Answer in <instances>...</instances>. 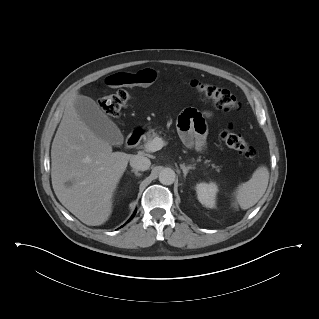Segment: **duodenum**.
<instances>
[{"instance_id": "obj_1", "label": "duodenum", "mask_w": 319, "mask_h": 319, "mask_svg": "<svg viewBox=\"0 0 319 319\" xmlns=\"http://www.w3.org/2000/svg\"><path fill=\"white\" fill-rule=\"evenodd\" d=\"M141 137H142V132L140 130L133 131L126 138V142H125L126 146L128 148H132L136 146L138 142L140 141Z\"/></svg>"}]
</instances>
